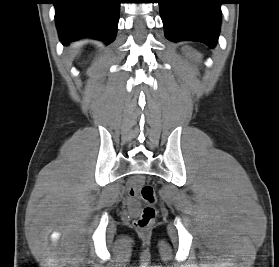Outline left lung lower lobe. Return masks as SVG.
<instances>
[{"label":"left lung lower lobe","mask_w":279,"mask_h":267,"mask_svg":"<svg viewBox=\"0 0 279 267\" xmlns=\"http://www.w3.org/2000/svg\"><path fill=\"white\" fill-rule=\"evenodd\" d=\"M158 3L170 41L192 40L215 47L223 0H159Z\"/></svg>","instance_id":"0a47b994"}]
</instances>
